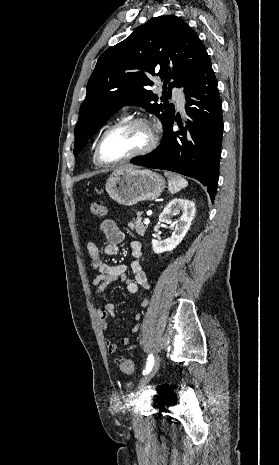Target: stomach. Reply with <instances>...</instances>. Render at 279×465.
<instances>
[{
	"mask_svg": "<svg viewBox=\"0 0 279 465\" xmlns=\"http://www.w3.org/2000/svg\"><path fill=\"white\" fill-rule=\"evenodd\" d=\"M164 188L165 180L161 175L149 169L133 167L114 170L105 185L108 195L124 206L154 200L160 196Z\"/></svg>",
	"mask_w": 279,
	"mask_h": 465,
	"instance_id": "0dacf381",
	"label": "stomach"
}]
</instances>
